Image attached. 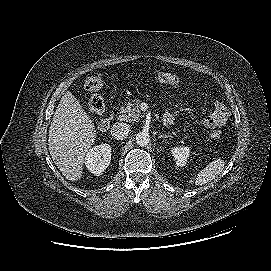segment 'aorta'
I'll list each match as a JSON object with an SVG mask.
<instances>
[{
    "label": "aorta",
    "instance_id": "762f6f07",
    "mask_svg": "<svg viewBox=\"0 0 271 271\" xmlns=\"http://www.w3.org/2000/svg\"><path fill=\"white\" fill-rule=\"evenodd\" d=\"M150 141V137L149 134L146 132H139L138 134H136V143L141 146L144 147L146 145H148Z\"/></svg>",
    "mask_w": 271,
    "mask_h": 271
}]
</instances>
